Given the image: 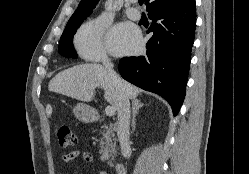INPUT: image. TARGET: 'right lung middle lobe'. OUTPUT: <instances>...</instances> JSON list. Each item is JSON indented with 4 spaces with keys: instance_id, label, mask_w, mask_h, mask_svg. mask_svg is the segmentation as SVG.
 Listing matches in <instances>:
<instances>
[{
    "instance_id": "right-lung-middle-lobe-1",
    "label": "right lung middle lobe",
    "mask_w": 249,
    "mask_h": 174,
    "mask_svg": "<svg viewBox=\"0 0 249 174\" xmlns=\"http://www.w3.org/2000/svg\"><path fill=\"white\" fill-rule=\"evenodd\" d=\"M83 21L67 23L66 28L61 36L58 52L66 58H77V54L73 47V35Z\"/></svg>"
}]
</instances>
